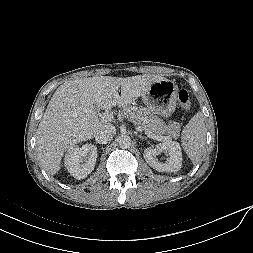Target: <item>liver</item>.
<instances>
[{
	"label": "liver",
	"instance_id": "1",
	"mask_svg": "<svg viewBox=\"0 0 253 253\" xmlns=\"http://www.w3.org/2000/svg\"><path fill=\"white\" fill-rule=\"evenodd\" d=\"M163 79L160 75L150 74L126 78L98 76L67 81L59 86L37 130V150L42 167L50 175L58 173L64 152L93 138L101 126L109 124L99 119L95 106L102 109L129 106L154 82Z\"/></svg>",
	"mask_w": 253,
	"mask_h": 253
}]
</instances>
